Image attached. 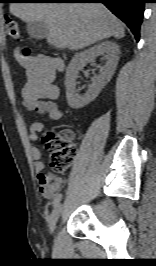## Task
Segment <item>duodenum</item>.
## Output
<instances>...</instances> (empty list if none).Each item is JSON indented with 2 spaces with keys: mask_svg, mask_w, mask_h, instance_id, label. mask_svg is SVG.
Here are the masks:
<instances>
[{
  "mask_svg": "<svg viewBox=\"0 0 156 266\" xmlns=\"http://www.w3.org/2000/svg\"><path fill=\"white\" fill-rule=\"evenodd\" d=\"M59 67V63H57V68Z\"/></svg>",
  "mask_w": 156,
  "mask_h": 266,
  "instance_id": "410a0bca",
  "label": "duodenum"
}]
</instances>
